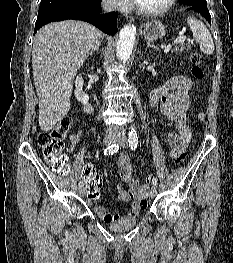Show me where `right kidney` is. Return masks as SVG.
<instances>
[{
  "instance_id": "ca27d5eb",
  "label": "right kidney",
  "mask_w": 233,
  "mask_h": 263,
  "mask_svg": "<svg viewBox=\"0 0 233 263\" xmlns=\"http://www.w3.org/2000/svg\"><path fill=\"white\" fill-rule=\"evenodd\" d=\"M83 84H84L83 78L80 75L77 76L75 80L76 89L74 91V95L79 102H81L83 105H86L89 101V96L85 92H83L82 90Z\"/></svg>"
}]
</instances>
